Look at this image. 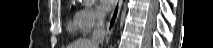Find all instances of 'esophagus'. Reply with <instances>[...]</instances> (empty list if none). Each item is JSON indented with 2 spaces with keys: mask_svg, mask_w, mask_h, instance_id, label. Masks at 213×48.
Instances as JSON below:
<instances>
[{
  "mask_svg": "<svg viewBox=\"0 0 213 48\" xmlns=\"http://www.w3.org/2000/svg\"><path fill=\"white\" fill-rule=\"evenodd\" d=\"M122 6V0H116L106 28V41L110 38L113 28L117 22Z\"/></svg>",
  "mask_w": 213,
  "mask_h": 48,
  "instance_id": "esophagus-1",
  "label": "esophagus"
}]
</instances>
